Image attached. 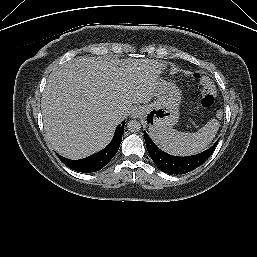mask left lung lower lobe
<instances>
[{
  "instance_id": "left-lung-lower-lobe-1",
  "label": "left lung lower lobe",
  "mask_w": 257,
  "mask_h": 257,
  "mask_svg": "<svg viewBox=\"0 0 257 257\" xmlns=\"http://www.w3.org/2000/svg\"><path fill=\"white\" fill-rule=\"evenodd\" d=\"M144 138L148 153L154 163L161 171L169 173L170 175L185 174L201 166L211 156L218 142L199 154L178 157L159 149L146 132H144Z\"/></svg>"
}]
</instances>
